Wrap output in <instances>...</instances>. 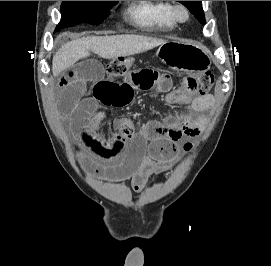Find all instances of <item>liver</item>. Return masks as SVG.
I'll list each match as a JSON object with an SVG mask.
<instances>
[{"instance_id": "6515ba94", "label": "liver", "mask_w": 271, "mask_h": 266, "mask_svg": "<svg viewBox=\"0 0 271 266\" xmlns=\"http://www.w3.org/2000/svg\"><path fill=\"white\" fill-rule=\"evenodd\" d=\"M166 40L140 36L116 35L103 37H86L66 43L54 55L52 72L58 76L60 67H71L74 62L89 56V50L104 59L130 56L145 52L166 43Z\"/></svg>"}]
</instances>
